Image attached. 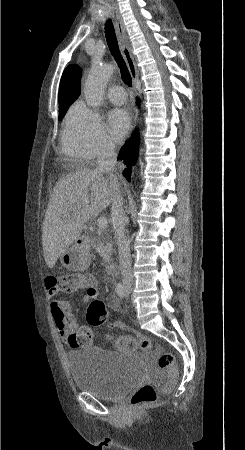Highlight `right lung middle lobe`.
Returning <instances> with one entry per match:
<instances>
[{"label": "right lung middle lobe", "mask_w": 245, "mask_h": 450, "mask_svg": "<svg viewBox=\"0 0 245 450\" xmlns=\"http://www.w3.org/2000/svg\"><path fill=\"white\" fill-rule=\"evenodd\" d=\"M70 105L64 106L63 108H59V118L61 119L62 116L66 113V110L68 109Z\"/></svg>", "instance_id": "obj_1"}]
</instances>
